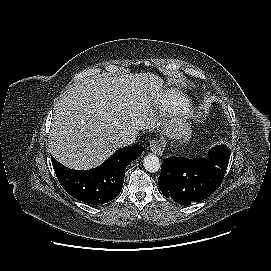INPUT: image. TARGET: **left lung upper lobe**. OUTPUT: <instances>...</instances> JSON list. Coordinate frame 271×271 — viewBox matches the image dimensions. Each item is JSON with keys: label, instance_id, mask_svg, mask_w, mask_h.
<instances>
[{"label": "left lung upper lobe", "instance_id": "left-lung-upper-lobe-1", "mask_svg": "<svg viewBox=\"0 0 271 271\" xmlns=\"http://www.w3.org/2000/svg\"><path fill=\"white\" fill-rule=\"evenodd\" d=\"M209 158L214 162H220L227 167L230 159V151L226 147L217 146L211 149Z\"/></svg>", "mask_w": 271, "mask_h": 271}]
</instances>
